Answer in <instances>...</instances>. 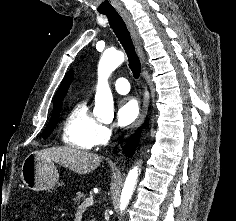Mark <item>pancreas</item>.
I'll list each match as a JSON object with an SVG mask.
<instances>
[{
  "mask_svg": "<svg viewBox=\"0 0 236 221\" xmlns=\"http://www.w3.org/2000/svg\"><path fill=\"white\" fill-rule=\"evenodd\" d=\"M86 198V194L82 191H78L72 200L74 201L75 204H80L82 200ZM94 221V220H91Z\"/></svg>",
  "mask_w": 236,
  "mask_h": 221,
  "instance_id": "1",
  "label": "pancreas"
}]
</instances>
